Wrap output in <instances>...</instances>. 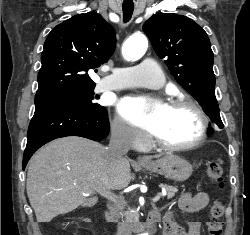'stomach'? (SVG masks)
Returning <instances> with one entry per match:
<instances>
[{
	"label": "stomach",
	"instance_id": "stomach-1",
	"mask_svg": "<svg viewBox=\"0 0 250 235\" xmlns=\"http://www.w3.org/2000/svg\"><path fill=\"white\" fill-rule=\"evenodd\" d=\"M141 166L176 182L187 180L193 171L192 165L188 161L174 154H167L155 161L141 164Z\"/></svg>",
	"mask_w": 250,
	"mask_h": 235
}]
</instances>
